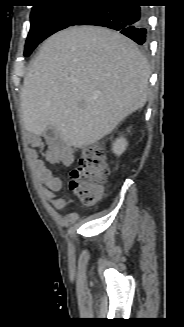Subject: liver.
Segmentation results:
<instances>
[{"mask_svg":"<svg viewBox=\"0 0 184 327\" xmlns=\"http://www.w3.org/2000/svg\"><path fill=\"white\" fill-rule=\"evenodd\" d=\"M149 77L131 39L101 27H70L43 43L24 78V127L37 136L53 128L75 148L93 144L145 105Z\"/></svg>","mask_w":184,"mask_h":327,"instance_id":"obj_1","label":"liver"}]
</instances>
